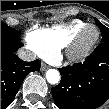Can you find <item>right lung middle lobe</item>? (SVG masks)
Here are the masks:
<instances>
[{
	"instance_id": "right-lung-middle-lobe-1",
	"label": "right lung middle lobe",
	"mask_w": 109,
	"mask_h": 109,
	"mask_svg": "<svg viewBox=\"0 0 109 109\" xmlns=\"http://www.w3.org/2000/svg\"><path fill=\"white\" fill-rule=\"evenodd\" d=\"M1 35L15 41L21 40V31H17L16 29L9 27L3 22H1Z\"/></svg>"
}]
</instances>
